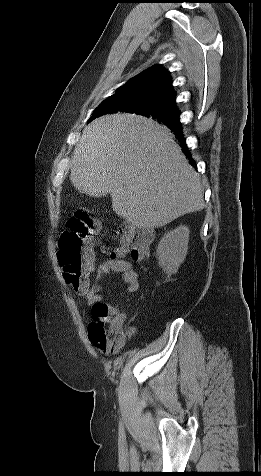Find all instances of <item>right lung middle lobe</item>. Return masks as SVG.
Returning a JSON list of instances; mask_svg holds the SVG:
<instances>
[{
    "label": "right lung middle lobe",
    "mask_w": 261,
    "mask_h": 476,
    "mask_svg": "<svg viewBox=\"0 0 261 476\" xmlns=\"http://www.w3.org/2000/svg\"><path fill=\"white\" fill-rule=\"evenodd\" d=\"M119 96H111L106 99L92 114L89 121L107 113L128 112L146 117H152L165 125L179 121V112L158 101H144L135 103H121Z\"/></svg>",
    "instance_id": "1"
}]
</instances>
